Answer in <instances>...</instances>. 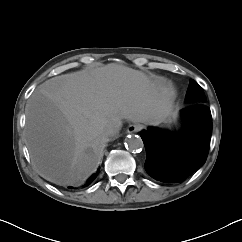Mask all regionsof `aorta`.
Here are the masks:
<instances>
[{
    "label": "aorta",
    "mask_w": 242,
    "mask_h": 242,
    "mask_svg": "<svg viewBox=\"0 0 242 242\" xmlns=\"http://www.w3.org/2000/svg\"><path fill=\"white\" fill-rule=\"evenodd\" d=\"M144 144L142 139L137 135H129L126 139V147L131 151H138L143 148Z\"/></svg>",
    "instance_id": "1"
}]
</instances>
